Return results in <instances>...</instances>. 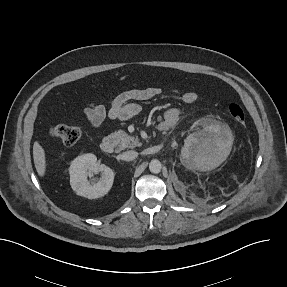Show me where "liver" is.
I'll return each mask as SVG.
<instances>
[{"label": "liver", "mask_w": 287, "mask_h": 287, "mask_svg": "<svg viewBox=\"0 0 287 287\" xmlns=\"http://www.w3.org/2000/svg\"><path fill=\"white\" fill-rule=\"evenodd\" d=\"M33 159L38 175L44 177L46 173V156L45 150L38 141H35L33 145Z\"/></svg>", "instance_id": "obj_1"}]
</instances>
